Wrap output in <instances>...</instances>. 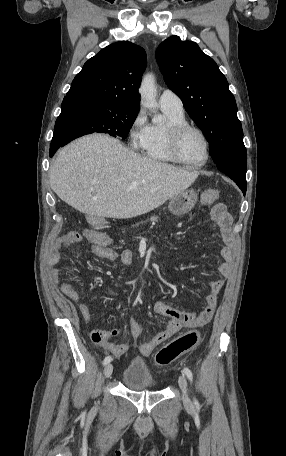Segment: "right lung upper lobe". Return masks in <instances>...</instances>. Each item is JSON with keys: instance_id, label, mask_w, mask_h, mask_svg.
<instances>
[{"instance_id": "obj_1", "label": "right lung upper lobe", "mask_w": 286, "mask_h": 456, "mask_svg": "<svg viewBox=\"0 0 286 456\" xmlns=\"http://www.w3.org/2000/svg\"><path fill=\"white\" fill-rule=\"evenodd\" d=\"M143 48L128 41L107 46L90 58L64 99L91 98L138 107V86L146 67Z\"/></svg>"}]
</instances>
